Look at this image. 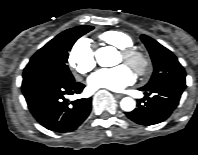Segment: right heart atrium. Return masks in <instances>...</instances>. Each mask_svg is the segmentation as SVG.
Here are the masks:
<instances>
[{"instance_id": "d8ad5b80", "label": "right heart atrium", "mask_w": 198, "mask_h": 155, "mask_svg": "<svg viewBox=\"0 0 198 155\" xmlns=\"http://www.w3.org/2000/svg\"><path fill=\"white\" fill-rule=\"evenodd\" d=\"M68 62L71 68L79 74H87L94 68V52L88 40H78L72 46L68 54Z\"/></svg>"}]
</instances>
